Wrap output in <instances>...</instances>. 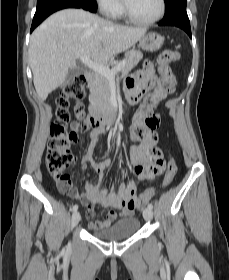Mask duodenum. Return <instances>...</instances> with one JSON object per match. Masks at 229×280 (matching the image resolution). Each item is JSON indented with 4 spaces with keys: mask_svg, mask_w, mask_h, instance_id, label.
Segmentation results:
<instances>
[{
    "mask_svg": "<svg viewBox=\"0 0 229 280\" xmlns=\"http://www.w3.org/2000/svg\"><path fill=\"white\" fill-rule=\"evenodd\" d=\"M84 77L88 82L95 81V74L91 71H86ZM118 109L116 100L107 110H99L92 108L90 111V121L94 129L104 130L106 127L116 125L118 123Z\"/></svg>",
    "mask_w": 229,
    "mask_h": 280,
    "instance_id": "1",
    "label": "duodenum"
}]
</instances>
